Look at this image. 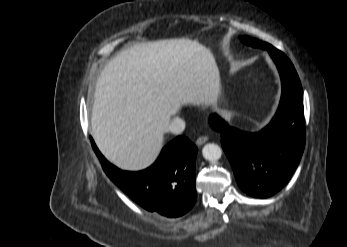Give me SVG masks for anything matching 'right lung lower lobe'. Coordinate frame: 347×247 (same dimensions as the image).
Here are the masks:
<instances>
[{"label": "right lung lower lobe", "mask_w": 347, "mask_h": 247, "mask_svg": "<svg viewBox=\"0 0 347 247\" xmlns=\"http://www.w3.org/2000/svg\"><path fill=\"white\" fill-rule=\"evenodd\" d=\"M93 149L107 176L137 204L167 217L187 213L196 202L197 147L178 136L163 149L157 161L139 172L122 171L109 163L92 140Z\"/></svg>", "instance_id": "1"}]
</instances>
